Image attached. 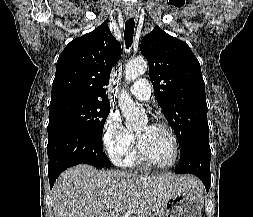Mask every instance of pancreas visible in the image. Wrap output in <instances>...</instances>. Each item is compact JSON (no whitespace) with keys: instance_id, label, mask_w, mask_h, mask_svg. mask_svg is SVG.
I'll list each match as a JSON object with an SVG mask.
<instances>
[{"instance_id":"pancreas-1","label":"pancreas","mask_w":253,"mask_h":217,"mask_svg":"<svg viewBox=\"0 0 253 217\" xmlns=\"http://www.w3.org/2000/svg\"><path fill=\"white\" fill-rule=\"evenodd\" d=\"M138 217H153V216H142V215H139Z\"/></svg>"}]
</instances>
